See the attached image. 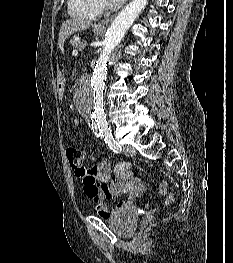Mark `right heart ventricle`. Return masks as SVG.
I'll use <instances>...</instances> for the list:
<instances>
[{"instance_id":"e07e8e85","label":"right heart ventricle","mask_w":233,"mask_h":263,"mask_svg":"<svg viewBox=\"0 0 233 263\" xmlns=\"http://www.w3.org/2000/svg\"><path fill=\"white\" fill-rule=\"evenodd\" d=\"M68 7L71 15L85 20H92L101 12L98 0H69Z\"/></svg>"}]
</instances>
